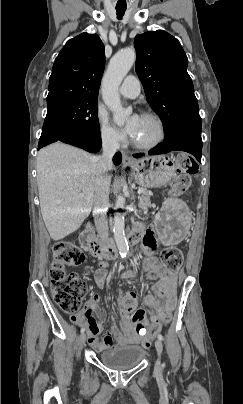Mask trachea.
<instances>
[{
    "mask_svg": "<svg viewBox=\"0 0 243 404\" xmlns=\"http://www.w3.org/2000/svg\"><path fill=\"white\" fill-rule=\"evenodd\" d=\"M126 8H127L126 6H124V7H118V6H116V12H117V18H118V20H121V19H122L123 15H124V13H125Z\"/></svg>",
    "mask_w": 243,
    "mask_h": 404,
    "instance_id": "obj_1",
    "label": "trachea"
}]
</instances>
